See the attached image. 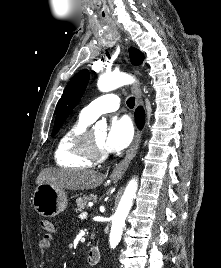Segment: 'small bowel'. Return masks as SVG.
Masks as SVG:
<instances>
[{"label": "small bowel", "instance_id": "1", "mask_svg": "<svg viewBox=\"0 0 221 268\" xmlns=\"http://www.w3.org/2000/svg\"><path fill=\"white\" fill-rule=\"evenodd\" d=\"M55 229L51 232H46V234L42 237L39 242L38 249H39V267L46 268L47 261L45 260V254L47 250L50 248L52 242L56 239Z\"/></svg>", "mask_w": 221, "mask_h": 268}]
</instances>
